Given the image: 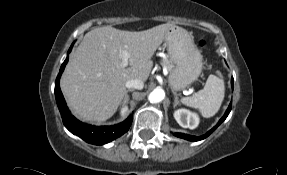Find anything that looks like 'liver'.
I'll return each instance as SVG.
<instances>
[{"mask_svg": "<svg viewBox=\"0 0 287 175\" xmlns=\"http://www.w3.org/2000/svg\"><path fill=\"white\" fill-rule=\"evenodd\" d=\"M166 23L132 32L105 26L85 34L71 54L61 79V89L73 114L87 122H103L118 109L127 93L126 82L146 81L153 67L152 57L170 29ZM130 57L122 66L121 53Z\"/></svg>", "mask_w": 287, "mask_h": 175, "instance_id": "6515ba94", "label": "liver"}]
</instances>
